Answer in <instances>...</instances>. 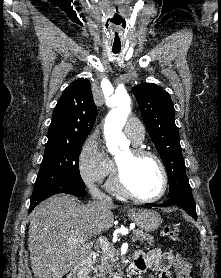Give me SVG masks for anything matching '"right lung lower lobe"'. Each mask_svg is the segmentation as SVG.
<instances>
[{"mask_svg": "<svg viewBox=\"0 0 221 278\" xmlns=\"http://www.w3.org/2000/svg\"><path fill=\"white\" fill-rule=\"evenodd\" d=\"M58 193H67L77 197H82L86 195L85 185L80 186L73 183H59L49 187L48 189L44 190L43 192L37 194L34 197H31V203L29 207V213L34 209V207L39 204L44 199Z\"/></svg>", "mask_w": 221, "mask_h": 278, "instance_id": "obj_1", "label": "right lung lower lobe"}]
</instances>
